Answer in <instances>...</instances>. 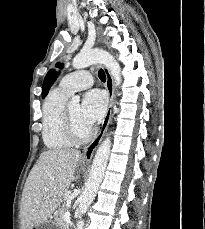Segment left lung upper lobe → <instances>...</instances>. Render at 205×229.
Segmentation results:
<instances>
[{"mask_svg": "<svg viewBox=\"0 0 205 229\" xmlns=\"http://www.w3.org/2000/svg\"><path fill=\"white\" fill-rule=\"evenodd\" d=\"M56 66L61 68V64L60 63H57ZM57 76H58V73L56 71H54V70H50L47 73V75H46V77L44 79V82H43V86H42V97L43 98L47 95L50 86L53 84V82L55 81Z\"/></svg>", "mask_w": 205, "mask_h": 229, "instance_id": "obj_1", "label": "left lung upper lobe"}]
</instances>
